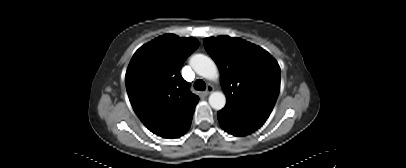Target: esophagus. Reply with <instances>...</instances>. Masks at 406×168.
Returning a JSON list of instances; mask_svg holds the SVG:
<instances>
[{"instance_id": "obj_1", "label": "esophagus", "mask_w": 406, "mask_h": 168, "mask_svg": "<svg viewBox=\"0 0 406 168\" xmlns=\"http://www.w3.org/2000/svg\"><path fill=\"white\" fill-rule=\"evenodd\" d=\"M213 90H214V88L211 85H208L207 89L205 90L204 93H205V95H208V94L212 93Z\"/></svg>"}]
</instances>
